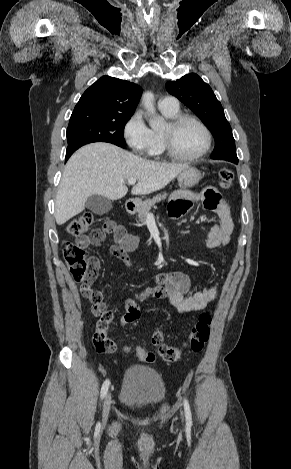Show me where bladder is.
<instances>
[{
    "mask_svg": "<svg viewBox=\"0 0 291 469\" xmlns=\"http://www.w3.org/2000/svg\"><path fill=\"white\" fill-rule=\"evenodd\" d=\"M166 397V387L161 376L153 369L133 366L123 379L120 402L130 409H147L159 406Z\"/></svg>",
    "mask_w": 291,
    "mask_h": 469,
    "instance_id": "obj_1",
    "label": "bladder"
}]
</instances>
